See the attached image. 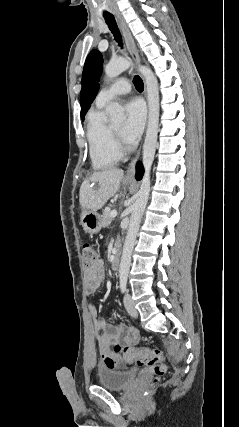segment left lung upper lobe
<instances>
[{"label": "left lung upper lobe", "mask_w": 239, "mask_h": 427, "mask_svg": "<svg viewBox=\"0 0 239 427\" xmlns=\"http://www.w3.org/2000/svg\"><path fill=\"white\" fill-rule=\"evenodd\" d=\"M102 73V55L98 50H92L85 61L82 89H81V118L85 117L87 110L95 99L99 90L100 76Z\"/></svg>", "instance_id": "obj_1"}]
</instances>
